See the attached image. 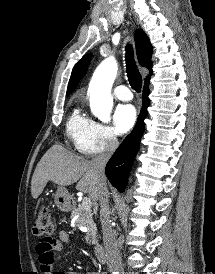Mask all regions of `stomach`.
Here are the masks:
<instances>
[{"mask_svg": "<svg viewBox=\"0 0 215 274\" xmlns=\"http://www.w3.org/2000/svg\"><path fill=\"white\" fill-rule=\"evenodd\" d=\"M54 201L60 210L67 211L70 206V195L68 190L63 186H58Z\"/></svg>", "mask_w": 215, "mask_h": 274, "instance_id": "0dacf381", "label": "stomach"}]
</instances>
